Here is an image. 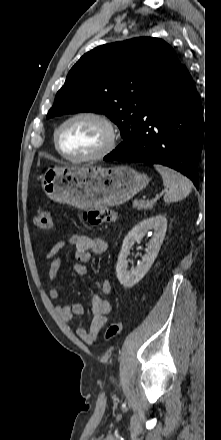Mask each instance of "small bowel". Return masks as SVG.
<instances>
[{
  "label": "small bowel",
  "instance_id": "1",
  "mask_svg": "<svg viewBox=\"0 0 221 440\" xmlns=\"http://www.w3.org/2000/svg\"><path fill=\"white\" fill-rule=\"evenodd\" d=\"M66 245H72L75 247L74 271L80 276L88 274L87 265L91 259V252L100 255L107 250V243L103 239H92L84 235H72L65 240L58 241L45 257L49 262L48 277L54 285L58 281V272L61 265L58 253ZM102 288L103 292L108 294L110 292L109 282L104 281ZM49 296L51 299L57 300L60 297L59 289L56 286L51 287L49 290ZM111 310L112 306L108 299L94 295L91 299L92 320L89 329L78 328V337L87 344H94L97 340L98 334L107 324ZM55 311L65 322H70L75 316H81L84 313L82 305L77 302L68 305L58 304L55 307Z\"/></svg>",
  "mask_w": 221,
  "mask_h": 440
}]
</instances>
